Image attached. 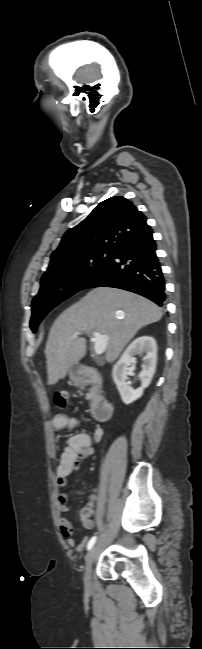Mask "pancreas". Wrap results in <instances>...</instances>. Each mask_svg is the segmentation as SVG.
Segmentation results:
<instances>
[{"label":"pancreas","instance_id":"1","mask_svg":"<svg viewBox=\"0 0 202 649\" xmlns=\"http://www.w3.org/2000/svg\"><path fill=\"white\" fill-rule=\"evenodd\" d=\"M87 398H88V399H91V394H88V395H87Z\"/></svg>","mask_w":202,"mask_h":649}]
</instances>
